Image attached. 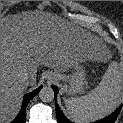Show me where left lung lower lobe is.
<instances>
[{
	"label": "left lung lower lobe",
	"instance_id": "0a47b994",
	"mask_svg": "<svg viewBox=\"0 0 123 123\" xmlns=\"http://www.w3.org/2000/svg\"><path fill=\"white\" fill-rule=\"evenodd\" d=\"M52 89L54 90L55 98H56V94L58 93V88L56 86H52ZM55 108H56V116H57L58 123H72L64 116L57 103L55 104ZM121 109H122V105L119 106V108H117V110L114 113H112L110 116L106 117L103 120L96 121L94 123H114Z\"/></svg>",
	"mask_w": 123,
	"mask_h": 123
}]
</instances>
